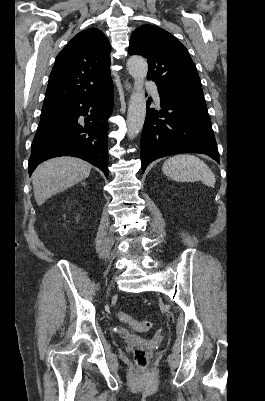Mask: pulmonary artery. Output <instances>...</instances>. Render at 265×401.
<instances>
[{"instance_id": "obj_1", "label": "pulmonary artery", "mask_w": 265, "mask_h": 401, "mask_svg": "<svg viewBox=\"0 0 265 401\" xmlns=\"http://www.w3.org/2000/svg\"><path fill=\"white\" fill-rule=\"evenodd\" d=\"M142 82H144V84H143L144 89H146V90L153 89L154 84L151 81H147V77H142ZM153 97H154L155 101L157 103H159L160 98H159L158 92L156 90H154V92H153Z\"/></svg>"}]
</instances>
